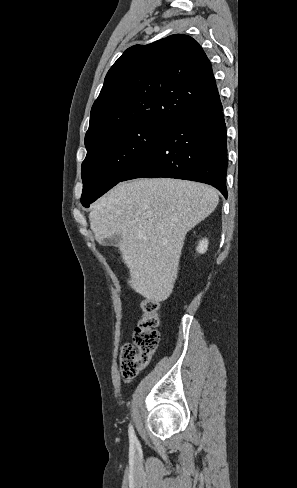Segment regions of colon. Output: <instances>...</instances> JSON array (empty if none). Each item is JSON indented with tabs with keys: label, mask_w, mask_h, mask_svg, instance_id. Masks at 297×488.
Segmentation results:
<instances>
[{
	"label": "colon",
	"mask_w": 297,
	"mask_h": 488,
	"mask_svg": "<svg viewBox=\"0 0 297 488\" xmlns=\"http://www.w3.org/2000/svg\"><path fill=\"white\" fill-rule=\"evenodd\" d=\"M158 301L145 299L141 303V312L134 332V343L125 344L120 353V371L126 378L135 377L147 367L158 347L160 335Z\"/></svg>",
	"instance_id": "obj_1"
}]
</instances>
